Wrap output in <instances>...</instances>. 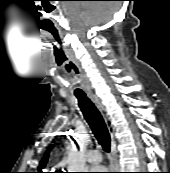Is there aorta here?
I'll return each instance as SVG.
<instances>
[{
    "label": "aorta",
    "instance_id": "obj_1",
    "mask_svg": "<svg viewBox=\"0 0 170 173\" xmlns=\"http://www.w3.org/2000/svg\"><path fill=\"white\" fill-rule=\"evenodd\" d=\"M77 143L81 148L87 145L88 136L87 134H79L76 138ZM68 165L69 172H85V156L82 150L78 151L74 147L69 150L68 153Z\"/></svg>",
    "mask_w": 170,
    "mask_h": 173
}]
</instances>
